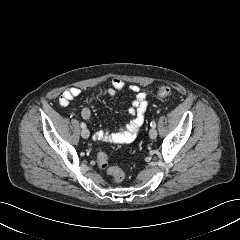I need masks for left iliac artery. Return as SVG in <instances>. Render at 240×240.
Segmentation results:
<instances>
[{"mask_svg": "<svg viewBox=\"0 0 240 240\" xmlns=\"http://www.w3.org/2000/svg\"><path fill=\"white\" fill-rule=\"evenodd\" d=\"M150 126H151L152 128H155V127H156V122H155V121H152V122L150 123Z\"/></svg>", "mask_w": 240, "mask_h": 240, "instance_id": "1", "label": "left iliac artery"}]
</instances>
